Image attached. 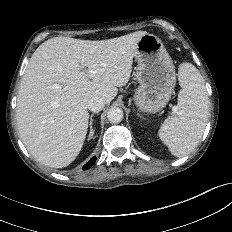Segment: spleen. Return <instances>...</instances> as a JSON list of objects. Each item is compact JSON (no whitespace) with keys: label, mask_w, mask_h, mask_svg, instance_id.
<instances>
[{"label":"spleen","mask_w":232,"mask_h":232,"mask_svg":"<svg viewBox=\"0 0 232 232\" xmlns=\"http://www.w3.org/2000/svg\"><path fill=\"white\" fill-rule=\"evenodd\" d=\"M182 89L178 95V115L168 117L159 130L161 140L172 155L189 154L200 141L208 121V96L202 76L191 63L178 69Z\"/></svg>","instance_id":"1"}]
</instances>
